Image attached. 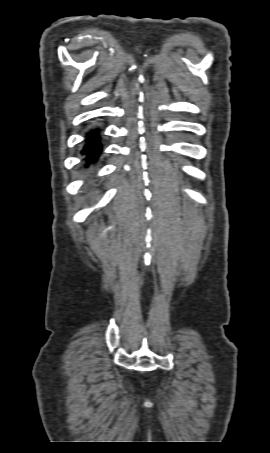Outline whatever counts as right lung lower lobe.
I'll return each instance as SVG.
<instances>
[{"label":"right lung lower lobe","instance_id":"1","mask_svg":"<svg viewBox=\"0 0 270 453\" xmlns=\"http://www.w3.org/2000/svg\"><path fill=\"white\" fill-rule=\"evenodd\" d=\"M102 152V144L100 143V129L95 128L90 130L86 134L85 146L82 150V154L86 156L89 162L93 159L97 160Z\"/></svg>","mask_w":270,"mask_h":453}]
</instances>
